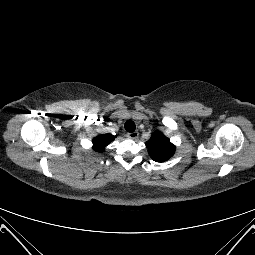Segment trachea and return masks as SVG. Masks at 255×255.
<instances>
[{"mask_svg": "<svg viewBox=\"0 0 255 255\" xmlns=\"http://www.w3.org/2000/svg\"><path fill=\"white\" fill-rule=\"evenodd\" d=\"M125 130L127 132H134L135 131V123L132 121V120H128L126 123H125Z\"/></svg>", "mask_w": 255, "mask_h": 255, "instance_id": "trachea-1", "label": "trachea"}]
</instances>
